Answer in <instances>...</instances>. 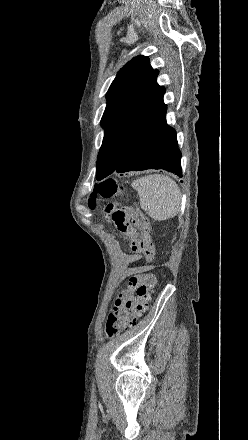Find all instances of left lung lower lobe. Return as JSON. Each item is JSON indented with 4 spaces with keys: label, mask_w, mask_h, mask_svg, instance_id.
I'll return each instance as SVG.
<instances>
[{
    "label": "left lung lower lobe",
    "mask_w": 248,
    "mask_h": 440,
    "mask_svg": "<svg viewBox=\"0 0 248 440\" xmlns=\"http://www.w3.org/2000/svg\"><path fill=\"white\" fill-rule=\"evenodd\" d=\"M146 169H164L182 177L181 152L178 149L176 131L166 122L131 148L113 172Z\"/></svg>",
    "instance_id": "1"
}]
</instances>
